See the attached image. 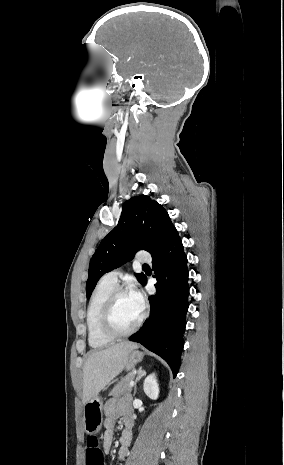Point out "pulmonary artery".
Wrapping results in <instances>:
<instances>
[{
    "label": "pulmonary artery",
    "mask_w": 284,
    "mask_h": 465,
    "mask_svg": "<svg viewBox=\"0 0 284 465\" xmlns=\"http://www.w3.org/2000/svg\"><path fill=\"white\" fill-rule=\"evenodd\" d=\"M134 261L136 263H149L151 261V256L148 250H139L138 253L134 256ZM121 273L117 270L110 271L104 274L101 277V281L109 283L111 285H117L119 282V276Z\"/></svg>",
    "instance_id": "obj_1"
}]
</instances>
